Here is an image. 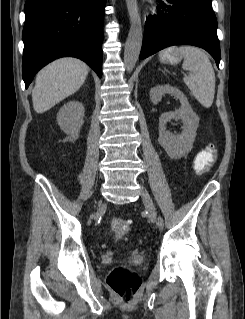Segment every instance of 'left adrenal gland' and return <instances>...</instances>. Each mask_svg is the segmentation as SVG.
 <instances>
[{
	"mask_svg": "<svg viewBox=\"0 0 245 319\" xmlns=\"http://www.w3.org/2000/svg\"><path fill=\"white\" fill-rule=\"evenodd\" d=\"M161 70V69H160ZM163 73H165V72H168L166 69H164V70H161Z\"/></svg>",
	"mask_w": 245,
	"mask_h": 319,
	"instance_id": "obj_1",
	"label": "left adrenal gland"
}]
</instances>
